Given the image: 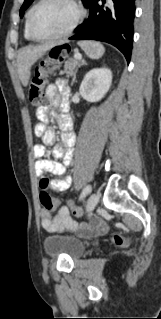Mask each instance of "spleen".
Wrapping results in <instances>:
<instances>
[{"mask_svg": "<svg viewBox=\"0 0 161 319\" xmlns=\"http://www.w3.org/2000/svg\"><path fill=\"white\" fill-rule=\"evenodd\" d=\"M78 45L82 48L85 54L91 59H99L105 52L104 46L95 41H81Z\"/></svg>", "mask_w": 161, "mask_h": 319, "instance_id": "obj_1", "label": "spleen"}]
</instances>
